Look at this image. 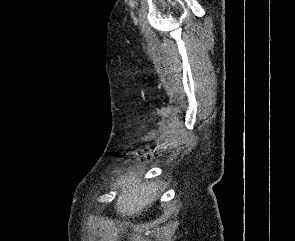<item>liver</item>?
<instances>
[{
    "label": "liver",
    "mask_w": 295,
    "mask_h": 241,
    "mask_svg": "<svg viewBox=\"0 0 295 241\" xmlns=\"http://www.w3.org/2000/svg\"><path fill=\"white\" fill-rule=\"evenodd\" d=\"M157 188L154 183L142 182L140 175L126 176L120 183V193L115 209L118 214L134 216L151 205L156 198Z\"/></svg>",
    "instance_id": "liver-1"
}]
</instances>
